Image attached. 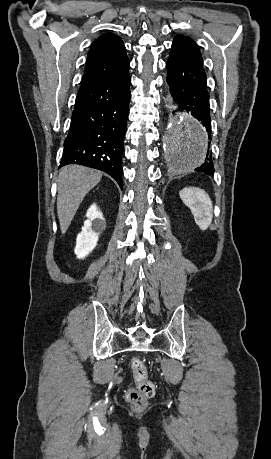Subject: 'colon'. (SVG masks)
<instances>
[{
	"instance_id": "colon-1",
	"label": "colon",
	"mask_w": 271,
	"mask_h": 459,
	"mask_svg": "<svg viewBox=\"0 0 271 459\" xmlns=\"http://www.w3.org/2000/svg\"><path fill=\"white\" fill-rule=\"evenodd\" d=\"M131 369L136 386L127 390L126 400L134 408H142L148 399L153 397L155 386L149 378L148 369L144 362L138 358L131 359Z\"/></svg>"
}]
</instances>
